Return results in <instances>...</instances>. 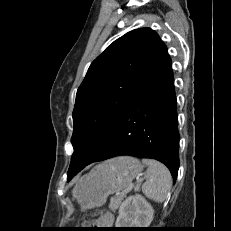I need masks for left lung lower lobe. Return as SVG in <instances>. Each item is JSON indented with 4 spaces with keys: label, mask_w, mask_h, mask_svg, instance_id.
Wrapping results in <instances>:
<instances>
[{
    "label": "left lung lower lobe",
    "mask_w": 231,
    "mask_h": 231,
    "mask_svg": "<svg viewBox=\"0 0 231 231\" xmlns=\"http://www.w3.org/2000/svg\"><path fill=\"white\" fill-rule=\"evenodd\" d=\"M176 104L165 46L86 165L121 155L151 158L164 163L175 179L179 168ZM82 169L70 173L68 181Z\"/></svg>",
    "instance_id": "1"
}]
</instances>
